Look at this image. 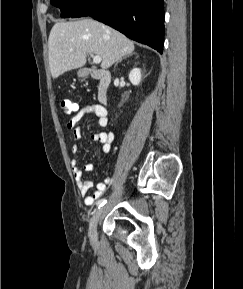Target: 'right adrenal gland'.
Masks as SVG:
<instances>
[{"mask_svg": "<svg viewBox=\"0 0 243 289\" xmlns=\"http://www.w3.org/2000/svg\"><path fill=\"white\" fill-rule=\"evenodd\" d=\"M134 54H135V53H134ZM129 56H131V54L126 55V56L122 57L121 59H119V61H117V63L115 64V66H116L119 62H121L122 59H125V58H127V57H129Z\"/></svg>", "mask_w": 243, "mask_h": 289, "instance_id": "obj_1", "label": "right adrenal gland"}]
</instances>
